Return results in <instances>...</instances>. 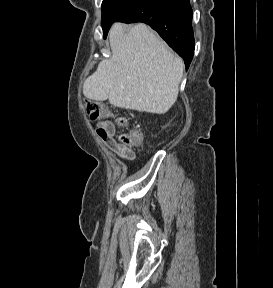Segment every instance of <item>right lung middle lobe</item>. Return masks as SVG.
I'll list each match as a JSON object with an SVG mask.
<instances>
[{"instance_id":"right-lung-middle-lobe-1","label":"right lung middle lobe","mask_w":273,"mask_h":288,"mask_svg":"<svg viewBox=\"0 0 273 288\" xmlns=\"http://www.w3.org/2000/svg\"><path fill=\"white\" fill-rule=\"evenodd\" d=\"M137 0H103L102 29L106 38L111 25L117 21Z\"/></svg>"}]
</instances>
